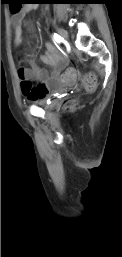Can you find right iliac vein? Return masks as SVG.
<instances>
[{
	"mask_svg": "<svg viewBox=\"0 0 122 257\" xmlns=\"http://www.w3.org/2000/svg\"><path fill=\"white\" fill-rule=\"evenodd\" d=\"M56 30H57V32H58V34L62 37V38H64V39H67L68 38V33H67V31L66 30H64L63 28H56Z\"/></svg>",
	"mask_w": 122,
	"mask_h": 257,
	"instance_id": "obj_1",
	"label": "right iliac vein"
}]
</instances>
